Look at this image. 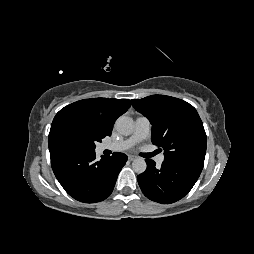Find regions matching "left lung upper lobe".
Masks as SVG:
<instances>
[{"label":"left lung upper lobe","instance_id":"5c2ea615","mask_svg":"<svg viewBox=\"0 0 254 254\" xmlns=\"http://www.w3.org/2000/svg\"><path fill=\"white\" fill-rule=\"evenodd\" d=\"M133 107L152 124V142L164 149V160L203 165L207 139L196 109L184 100L152 95L133 99Z\"/></svg>","mask_w":254,"mask_h":254}]
</instances>
